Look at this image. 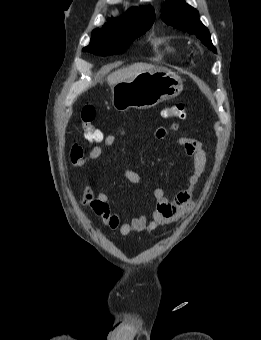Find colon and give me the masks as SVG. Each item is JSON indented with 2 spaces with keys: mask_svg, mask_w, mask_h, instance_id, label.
Wrapping results in <instances>:
<instances>
[{
  "mask_svg": "<svg viewBox=\"0 0 261 340\" xmlns=\"http://www.w3.org/2000/svg\"><path fill=\"white\" fill-rule=\"evenodd\" d=\"M163 116L168 118L186 117L185 106L181 103L168 106L163 110ZM96 110L93 105L85 104L80 111V119L84 130L85 137L92 143H99L103 140V133L94 125Z\"/></svg>",
  "mask_w": 261,
  "mask_h": 340,
  "instance_id": "colon-1",
  "label": "colon"
}]
</instances>
